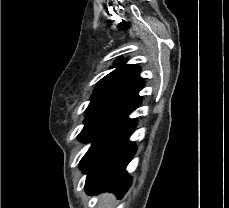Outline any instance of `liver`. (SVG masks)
<instances>
[{
    "label": "liver",
    "instance_id": "1",
    "mask_svg": "<svg viewBox=\"0 0 229 208\" xmlns=\"http://www.w3.org/2000/svg\"><path fill=\"white\" fill-rule=\"evenodd\" d=\"M115 202L113 194H103L99 200V208H113Z\"/></svg>",
    "mask_w": 229,
    "mask_h": 208
}]
</instances>
